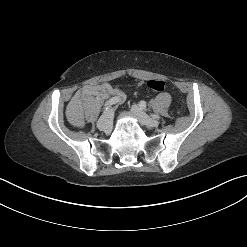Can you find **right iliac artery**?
Here are the masks:
<instances>
[{
    "mask_svg": "<svg viewBox=\"0 0 247 247\" xmlns=\"http://www.w3.org/2000/svg\"><path fill=\"white\" fill-rule=\"evenodd\" d=\"M121 101V98L118 96L112 97L111 99H109L108 101H106L104 107H103V113L105 114L106 112H108L109 108L116 104L119 103Z\"/></svg>",
    "mask_w": 247,
    "mask_h": 247,
    "instance_id": "right-iliac-artery-1",
    "label": "right iliac artery"
}]
</instances>
